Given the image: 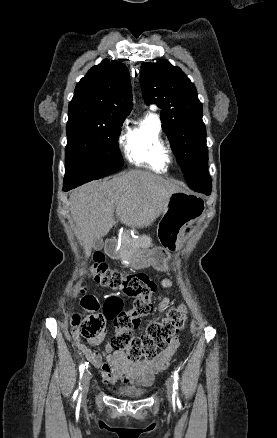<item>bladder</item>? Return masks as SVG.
<instances>
[{"mask_svg":"<svg viewBox=\"0 0 277 438\" xmlns=\"http://www.w3.org/2000/svg\"><path fill=\"white\" fill-rule=\"evenodd\" d=\"M149 389L147 388H137V389H126L117 388L112 391V394L118 397H123L126 400L140 399L149 394Z\"/></svg>","mask_w":277,"mask_h":438,"instance_id":"obj_1","label":"bladder"}]
</instances>
